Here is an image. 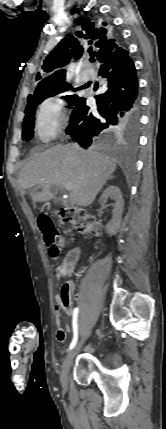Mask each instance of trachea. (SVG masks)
I'll list each match as a JSON object with an SVG mask.
<instances>
[{
    "label": "trachea",
    "mask_w": 166,
    "mask_h": 429,
    "mask_svg": "<svg viewBox=\"0 0 166 429\" xmlns=\"http://www.w3.org/2000/svg\"><path fill=\"white\" fill-rule=\"evenodd\" d=\"M90 61H91V62H95V59H94V57H93V56L90 58Z\"/></svg>",
    "instance_id": "3493384b"
}]
</instances>
